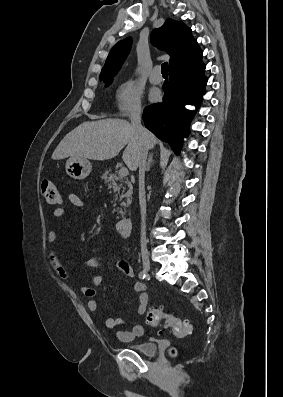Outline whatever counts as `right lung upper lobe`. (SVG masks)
I'll return each mask as SVG.
<instances>
[{
	"instance_id": "1",
	"label": "right lung upper lobe",
	"mask_w": 283,
	"mask_h": 397,
	"mask_svg": "<svg viewBox=\"0 0 283 397\" xmlns=\"http://www.w3.org/2000/svg\"><path fill=\"white\" fill-rule=\"evenodd\" d=\"M151 42L170 55V69L192 62L202 57V51L191 34V29L180 21L168 18L165 23L151 33ZM131 47V38L119 41L111 49L100 79L108 80L119 71Z\"/></svg>"
}]
</instances>
